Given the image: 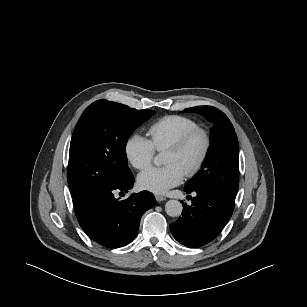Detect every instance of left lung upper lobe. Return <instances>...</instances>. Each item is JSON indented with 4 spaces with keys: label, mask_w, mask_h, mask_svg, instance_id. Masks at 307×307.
Returning <instances> with one entry per match:
<instances>
[{
    "label": "left lung upper lobe",
    "mask_w": 307,
    "mask_h": 307,
    "mask_svg": "<svg viewBox=\"0 0 307 307\" xmlns=\"http://www.w3.org/2000/svg\"><path fill=\"white\" fill-rule=\"evenodd\" d=\"M196 112L213 122L211 145L201 170L185 185V188L211 189L229 202L235 203L239 186L238 139L229 118L211 106L185 109Z\"/></svg>",
    "instance_id": "1"
}]
</instances>
